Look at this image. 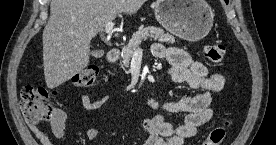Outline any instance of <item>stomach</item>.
Wrapping results in <instances>:
<instances>
[{
    "label": "stomach",
    "mask_w": 276,
    "mask_h": 145,
    "mask_svg": "<svg viewBox=\"0 0 276 145\" xmlns=\"http://www.w3.org/2000/svg\"><path fill=\"white\" fill-rule=\"evenodd\" d=\"M154 14L168 32L190 42L203 39L214 21L213 11L205 0H157Z\"/></svg>",
    "instance_id": "1"
}]
</instances>
